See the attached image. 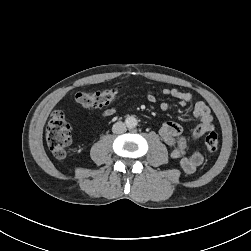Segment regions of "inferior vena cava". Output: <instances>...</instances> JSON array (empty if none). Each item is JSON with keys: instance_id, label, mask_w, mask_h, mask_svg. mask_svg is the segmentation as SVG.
Returning a JSON list of instances; mask_svg holds the SVG:
<instances>
[{"instance_id": "obj_1", "label": "inferior vena cava", "mask_w": 251, "mask_h": 251, "mask_svg": "<svg viewBox=\"0 0 251 251\" xmlns=\"http://www.w3.org/2000/svg\"><path fill=\"white\" fill-rule=\"evenodd\" d=\"M126 131V125L123 122H116L112 127V132L115 134H121Z\"/></svg>"}]
</instances>
